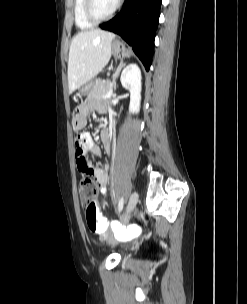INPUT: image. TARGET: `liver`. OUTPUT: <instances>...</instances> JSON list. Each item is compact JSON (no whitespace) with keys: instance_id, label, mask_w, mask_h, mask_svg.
I'll use <instances>...</instances> for the list:
<instances>
[{"instance_id":"1","label":"liver","mask_w":247,"mask_h":304,"mask_svg":"<svg viewBox=\"0 0 247 304\" xmlns=\"http://www.w3.org/2000/svg\"><path fill=\"white\" fill-rule=\"evenodd\" d=\"M114 38L113 33L99 29L81 31L75 35L68 60L70 94L94 78L107 65Z\"/></svg>"}]
</instances>
